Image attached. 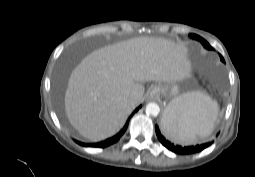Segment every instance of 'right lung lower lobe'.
<instances>
[{
    "mask_svg": "<svg viewBox=\"0 0 255 177\" xmlns=\"http://www.w3.org/2000/svg\"><path fill=\"white\" fill-rule=\"evenodd\" d=\"M141 108V106H139L138 108L135 109V111L132 113V115L137 112L139 109ZM128 127V122L125 124V126L123 127V129L120 130L119 133H117L115 136L109 138V139H106L104 141H101L99 143H82V142H78L76 141L78 144H80L81 146H85V147H100V148H105V147H108L114 143H116L120 138L121 136L124 134V132L126 131Z\"/></svg>",
    "mask_w": 255,
    "mask_h": 177,
    "instance_id": "obj_1",
    "label": "right lung lower lobe"
}]
</instances>
